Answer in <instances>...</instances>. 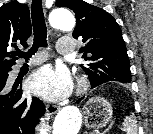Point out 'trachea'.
Segmentation results:
<instances>
[{"mask_svg":"<svg viewBox=\"0 0 153 134\" xmlns=\"http://www.w3.org/2000/svg\"><path fill=\"white\" fill-rule=\"evenodd\" d=\"M32 25L34 31V42L28 52L17 51L15 55L26 61L36 53L39 47L47 46V27L42 9V0H32L31 5Z\"/></svg>","mask_w":153,"mask_h":134,"instance_id":"3493384b","label":"trachea"}]
</instances>
